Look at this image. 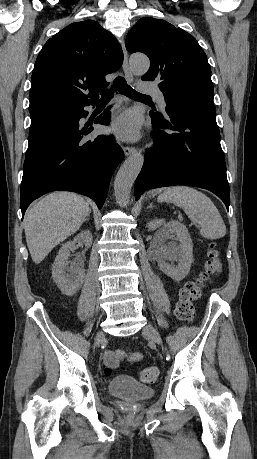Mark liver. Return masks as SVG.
I'll use <instances>...</instances> for the list:
<instances>
[{"label": "liver", "mask_w": 257, "mask_h": 459, "mask_svg": "<svg viewBox=\"0 0 257 459\" xmlns=\"http://www.w3.org/2000/svg\"><path fill=\"white\" fill-rule=\"evenodd\" d=\"M89 213L88 203L70 192L51 193L29 208L24 230L33 262L39 264L55 246L75 233Z\"/></svg>", "instance_id": "liver-1"}]
</instances>
